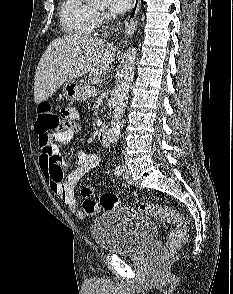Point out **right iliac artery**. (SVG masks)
Segmentation results:
<instances>
[{
	"label": "right iliac artery",
	"mask_w": 233,
	"mask_h": 294,
	"mask_svg": "<svg viewBox=\"0 0 233 294\" xmlns=\"http://www.w3.org/2000/svg\"><path fill=\"white\" fill-rule=\"evenodd\" d=\"M122 172H123V167L121 165H118L116 168H115V175L117 177L121 176L122 175Z\"/></svg>",
	"instance_id": "82829eb1"
}]
</instances>
